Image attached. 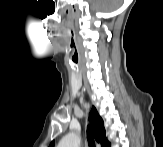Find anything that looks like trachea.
Listing matches in <instances>:
<instances>
[{"mask_svg":"<svg viewBox=\"0 0 163 147\" xmlns=\"http://www.w3.org/2000/svg\"><path fill=\"white\" fill-rule=\"evenodd\" d=\"M87 141H88V145L89 147H95V141L91 132L90 127H87Z\"/></svg>","mask_w":163,"mask_h":147,"instance_id":"1","label":"trachea"}]
</instances>
